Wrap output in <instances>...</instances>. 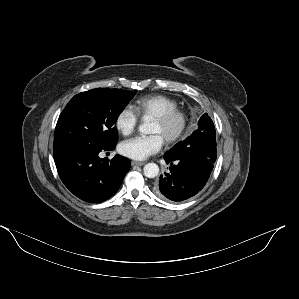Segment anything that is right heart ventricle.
<instances>
[{"label": "right heart ventricle", "instance_id": "1", "mask_svg": "<svg viewBox=\"0 0 299 299\" xmlns=\"http://www.w3.org/2000/svg\"><path fill=\"white\" fill-rule=\"evenodd\" d=\"M132 108L141 118H153L163 112L177 109L178 103L164 94H149L136 99Z\"/></svg>", "mask_w": 299, "mask_h": 299}]
</instances>
